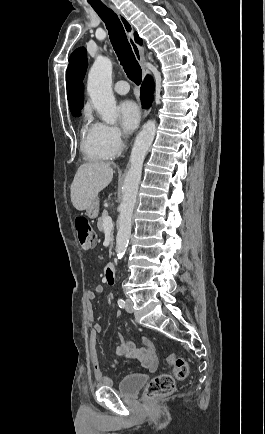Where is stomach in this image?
<instances>
[{"label": "stomach", "instance_id": "1", "mask_svg": "<svg viewBox=\"0 0 265 434\" xmlns=\"http://www.w3.org/2000/svg\"><path fill=\"white\" fill-rule=\"evenodd\" d=\"M99 212V200L95 198L93 202H91L90 206L87 208V216L89 218H97Z\"/></svg>", "mask_w": 265, "mask_h": 434}]
</instances>
